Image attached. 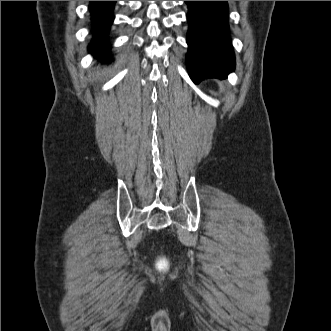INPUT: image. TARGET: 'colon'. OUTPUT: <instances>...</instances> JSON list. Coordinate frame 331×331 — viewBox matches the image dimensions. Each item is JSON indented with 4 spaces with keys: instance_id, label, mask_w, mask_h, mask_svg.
<instances>
[{
    "instance_id": "5ec220e1",
    "label": "colon",
    "mask_w": 331,
    "mask_h": 331,
    "mask_svg": "<svg viewBox=\"0 0 331 331\" xmlns=\"http://www.w3.org/2000/svg\"><path fill=\"white\" fill-rule=\"evenodd\" d=\"M159 268L162 270H164L166 268V262L164 260H161L159 262Z\"/></svg>"
}]
</instances>
